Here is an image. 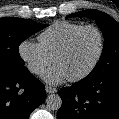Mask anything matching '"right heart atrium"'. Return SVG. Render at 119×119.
I'll list each match as a JSON object with an SVG mask.
<instances>
[{"mask_svg":"<svg viewBox=\"0 0 119 119\" xmlns=\"http://www.w3.org/2000/svg\"><path fill=\"white\" fill-rule=\"evenodd\" d=\"M19 54L29 71L35 75L42 74L52 63V58L43 50L39 43L24 40L19 46Z\"/></svg>","mask_w":119,"mask_h":119,"instance_id":"d8ad5b80","label":"right heart atrium"}]
</instances>
